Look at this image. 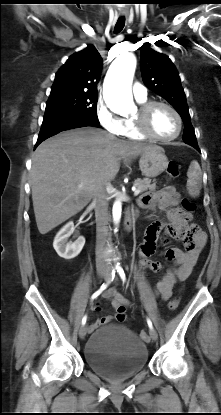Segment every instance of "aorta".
<instances>
[{"label": "aorta", "mask_w": 221, "mask_h": 415, "mask_svg": "<svg viewBox=\"0 0 221 415\" xmlns=\"http://www.w3.org/2000/svg\"><path fill=\"white\" fill-rule=\"evenodd\" d=\"M136 62L134 54L126 53L114 60L106 74L103 97L106 105L116 113H126L133 107L131 86ZM121 212L122 204L118 199L114 202L112 209L115 225L120 222Z\"/></svg>", "instance_id": "aorta-1"}]
</instances>
